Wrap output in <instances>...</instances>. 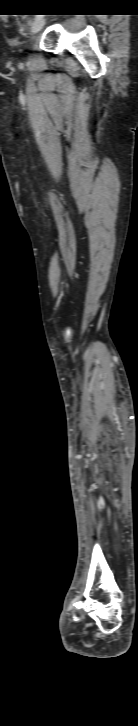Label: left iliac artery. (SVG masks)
Here are the masks:
<instances>
[{"label": "left iliac artery", "mask_w": 138, "mask_h": 726, "mask_svg": "<svg viewBox=\"0 0 138 726\" xmlns=\"http://www.w3.org/2000/svg\"><path fill=\"white\" fill-rule=\"evenodd\" d=\"M38 17H39V16H36V17H35V20H36V19H37Z\"/></svg>", "instance_id": "44dca946"}]
</instances>
